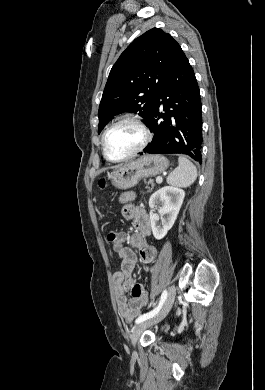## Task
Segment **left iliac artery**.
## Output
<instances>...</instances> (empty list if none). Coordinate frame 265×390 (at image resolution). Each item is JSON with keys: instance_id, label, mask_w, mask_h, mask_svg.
<instances>
[{"instance_id": "left-iliac-artery-1", "label": "left iliac artery", "mask_w": 265, "mask_h": 390, "mask_svg": "<svg viewBox=\"0 0 265 390\" xmlns=\"http://www.w3.org/2000/svg\"><path fill=\"white\" fill-rule=\"evenodd\" d=\"M166 297H167V290H164L161 297H160V301H159L158 306L155 309H153L152 311L139 316L136 319L135 323L139 324L140 322H143V321L153 317L161 309L162 305L164 304V302L166 300Z\"/></svg>"}]
</instances>
